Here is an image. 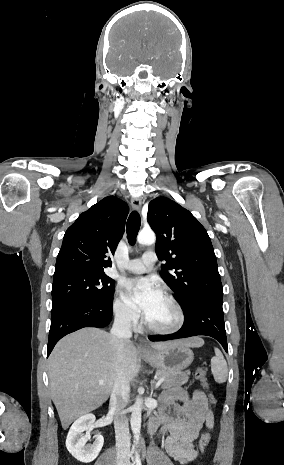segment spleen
Wrapping results in <instances>:
<instances>
[{
    "label": "spleen",
    "mask_w": 284,
    "mask_h": 465,
    "mask_svg": "<svg viewBox=\"0 0 284 465\" xmlns=\"http://www.w3.org/2000/svg\"><path fill=\"white\" fill-rule=\"evenodd\" d=\"M215 357L211 359V371L216 383H225L228 377L227 363L219 349H214Z\"/></svg>",
    "instance_id": "obj_1"
}]
</instances>
